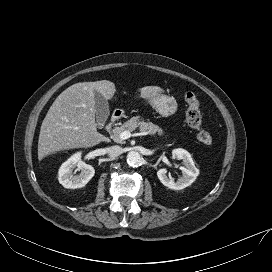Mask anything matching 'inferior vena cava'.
<instances>
[{
  "mask_svg": "<svg viewBox=\"0 0 272 272\" xmlns=\"http://www.w3.org/2000/svg\"><path fill=\"white\" fill-rule=\"evenodd\" d=\"M108 155L111 157H117L122 153L121 147L111 146L107 148Z\"/></svg>",
  "mask_w": 272,
  "mask_h": 272,
  "instance_id": "inferior-vena-cava-1",
  "label": "inferior vena cava"
}]
</instances>
